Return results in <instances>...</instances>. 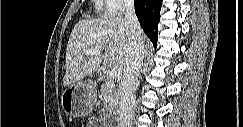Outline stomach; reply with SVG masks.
<instances>
[{
  "mask_svg": "<svg viewBox=\"0 0 243 127\" xmlns=\"http://www.w3.org/2000/svg\"><path fill=\"white\" fill-rule=\"evenodd\" d=\"M96 97L97 90L92 82H75L63 91L61 105L68 116L85 117L92 111Z\"/></svg>",
  "mask_w": 243,
  "mask_h": 127,
  "instance_id": "stomach-1",
  "label": "stomach"
}]
</instances>
